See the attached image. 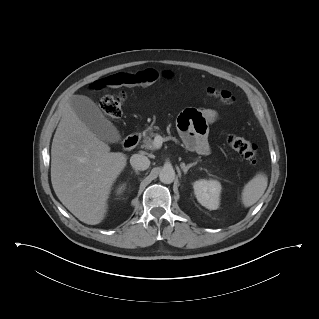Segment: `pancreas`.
<instances>
[{"mask_svg":"<svg viewBox=\"0 0 319 319\" xmlns=\"http://www.w3.org/2000/svg\"><path fill=\"white\" fill-rule=\"evenodd\" d=\"M154 129L152 127H148L143 132V144L141 145L142 148L145 149H154L153 140L152 138L156 136V133L153 132Z\"/></svg>","mask_w":319,"mask_h":319,"instance_id":"obj_1","label":"pancreas"}]
</instances>
